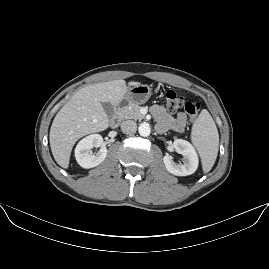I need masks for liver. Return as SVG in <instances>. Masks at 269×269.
<instances>
[{
	"instance_id": "liver-1",
	"label": "liver",
	"mask_w": 269,
	"mask_h": 269,
	"mask_svg": "<svg viewBox=\"0 0 269 269\" xmlns=\"http://www.w3.org/2000/svg\"><path fill=\"white\" fill-rule=\"evenodd\" d=\"M127 90V83L122 79L90 85L75 93L60 109L50 130L52 153L59 165L68 166L72 146L80 137L108 127L102 102L117 105Z\"/></svg>"
}]
</instances>
